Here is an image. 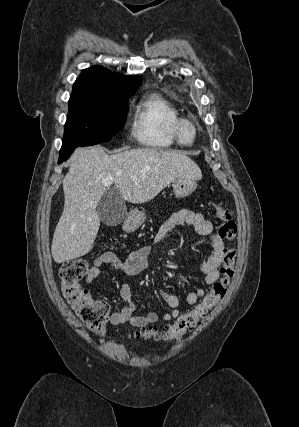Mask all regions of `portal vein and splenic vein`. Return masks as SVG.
I'll return each mask as SVG.
<instances>
[{
	"mask_svg": "<svg viewBox=\"0 0 299 427\" xmlns=\"http://www.w3.org/2000/svg\"><path fill=\"white\" fill-rule=\"evenodd\" d=\"M131 178H132L133 180H136V179H137V177H136V176H131ZM112 183H113V179H112V178H108V179H105V180L103 181V184H104L105 186H110Z\"/></svg>",
	"mask_w": 299,
	"mask_h": 427,
	"instance_id": "1",
	"label": "portal vein and splenic vein"
}]
</instances>
